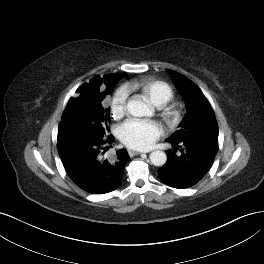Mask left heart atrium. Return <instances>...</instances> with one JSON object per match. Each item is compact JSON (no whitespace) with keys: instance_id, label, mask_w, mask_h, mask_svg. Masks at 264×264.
Returning a JSON list of instances; mask_svg holds the SVG:
<instances>
[{"instance_id":"39dd6f15","label":"left heart atrium","mask_w":264,"mask_h":264,"mask_svg":"<svg viewBox=\"0 0 264 264\" xmlns=\"http://www.w3.org/2000/svg\"><path fill=\"white\" fill-rule=\"evenodd\" d=\"M162 132V127L155 121L130 119L119 128V137L129 147L148 149Z\"/></svg>"}]
</instances>
